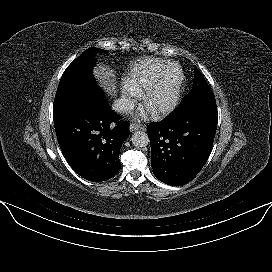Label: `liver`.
I'll return each instance as SVG.
<instances>
[{"mask_svg":"<svg viewBox=\"0 0 272 272\" xmlns=\"http://www.w3.org/2000/svg\"><path fill=\"white\" fill-rule=\"evenodd\" d=\"M94 76L101 81V86L104 87L109 95L114 96L116 94L114 70L107 66H99L94 69Z\"/></svg>","mask_w":272,"mask_h":272,"instance_id":"liver-1","label":"liver"}]
</instances>
